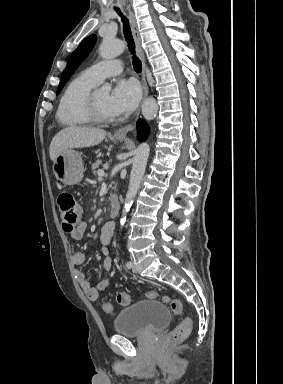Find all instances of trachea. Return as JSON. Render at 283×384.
<instances>
[{
    "instance_id": "trachea-1",
    "label": "trachea",
    "mask_w": 283,
    "mask_h": 384,
    "mask_svg": "<svg viewBox=\"0 0 283 384\" xmlns=\"http://www.w3.org/2000/svg\"><path fill=\"white\" fill-rule=\"evenodd\" d=\"M116 12H118L119 15H121V12L118 8H115ZM123 22V33L124 37L126 39V42L128 43L129 50L131 54L133 55V68L135 72L140 73L142 70V63L141 61L135 56V43L132 37V32L130 30L129 22L127 18L124 16L122 17Z\"/></svg>"
}]
</instances>
